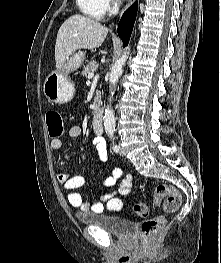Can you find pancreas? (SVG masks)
Masks as SVG:
<instances>
[{"label":"pancreas","mask_w":221,"mask_h":263,"mask_svg":"<svg viewBox=\"0 0 221 263\" xmlns=\"http://www.w3.org/2000/svg\"><path fill=\"white\" fill-rule=\"evenodd\" d=\"M98 68V63L95 62V61H91L82 71V75L83 76H88L90 73H93L94 71H96ZM101 95H100V92L97 93V97H96V100H95V104L96 106H99L100 103H101ZM96 112V111H95Z\"/></svg>","instance_id":"cf45deb5"}]
</instances>
